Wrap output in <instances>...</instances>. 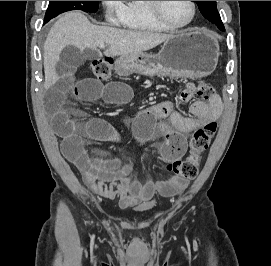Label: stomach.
I'll return each instance as SVG.
<instances>
[{"label": "stomach", "mask_w": 271, "mask_h": 266, "mask_svg": "<svg viewBox=\"0 0 271 266\" xmlns=\"http://www.w3.org/2000/svg\"><path fill=\"white\" fill-rule=\"evenodd\" d=\"M219 58V44L210 32L188 30L167 39L158 54L140 52L116 61L119 71L196 79L210 75Z\"/></svg>", "instance_id": "stomach-1"}]
</instances>
